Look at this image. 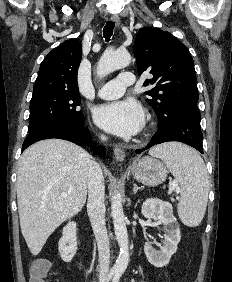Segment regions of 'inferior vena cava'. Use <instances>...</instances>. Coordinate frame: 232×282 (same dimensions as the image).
I'll return each mask as SVG.
<instances>
[{
  "instance_id": "inferior-vena-cava-1",
  "label": "inferior vena cava",
  "mask_w": 232,
  "mask_h": 282,
  "mask_svg": "<svg viewBox=\"0 0 232 282\" xmlns=\"http://www.w3.org/2000/svg\"><path fill=\"white\" fill-rule=\"evenodd\" d=\"M106 140L105 136H102ZM87 212L97 241L99 255V278L106 280L110 265V247L105 223V186L100 165L90 161L88 170Z\"/></svg>"
}]
</instances>
